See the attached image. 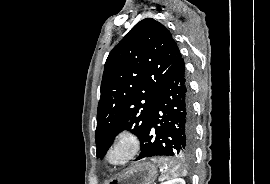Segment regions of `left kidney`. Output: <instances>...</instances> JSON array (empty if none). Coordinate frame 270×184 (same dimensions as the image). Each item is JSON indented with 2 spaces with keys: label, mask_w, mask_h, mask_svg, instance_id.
<instances>
[{
  "label": "left kidney",
  "mask_w": 270,
  "mask_h": 184,
  "mask_svg": "<svg viewBox=\"0 0 270 184\" xmlns=\"http://www.w3.org/2000/svg\"><path fill=\"white\" fill-rule=\"evenodd\" d=\"M166 184H185V181L181 178H177V179L168 181Z\"/></svg>",
  "instance_id": "obj_1"
}]
</instances>
